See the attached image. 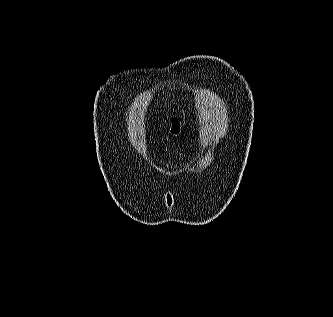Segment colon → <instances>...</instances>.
Returning a JSON list of instances; mask_svg holds the SVG:
<instances>
[{"instance_id":"obj_1","label":"colon","mask_w":333,"mask_h":317,"mask_svg":"<svg viewBox=\"0 0 333 317\" xmlns=\"http://www.w3.org/2000/svg\"><path fill=\"white\" fill-rule=\"evenodd\" d=\"M181 131V123L178 119L174 118L171 121V132L173 134H179Z\"/></svg>"}]
</instances>
